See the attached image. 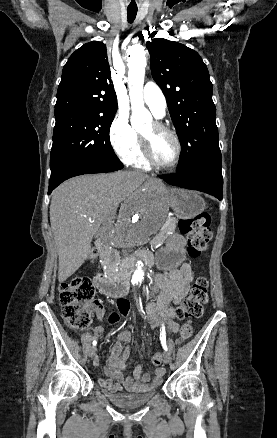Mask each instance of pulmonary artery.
Wrapping results in <instances>:
<instances>
[{
    "label": "pulmonary artery",
    "mask_w": 277,
    "mask_h": 438,
    "mask_svg": "<svg viewBox=\"0 0 277 438\" xmlns=\"http://www.w3.org/2000/svg\"><path fill=\"white\" fill-rule=\"evenodd\" d=\"M144 93L146 96L141 98V101L145 103L156 118H164L167 111V103L165 100V88L154 87L153 81L145 82Z\"/></svg>",
    "instance_id": "obj_1"
}]
</instances>
